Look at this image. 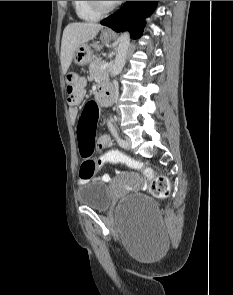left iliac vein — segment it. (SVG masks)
<instances>
[{"label": "left iliac vein", "instance_id": "left-iliac-vein-1", "mask_svg": "<svg viewBox=\"0 0 233 295\" xmlns=\"http://www.w3.org/2000/svg\"><path fill=\"white\" fill-rule=\"evenodd\" d=\"M122 140H125L127 143L125 145H120L122 148L124 149H127L129 150L130 149V140L125 138V139H122Z\"/></svg>", "mask_w": 233, "mask_h": 295}]
</instances>
